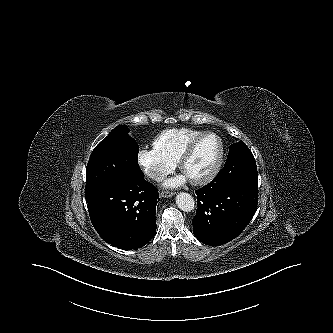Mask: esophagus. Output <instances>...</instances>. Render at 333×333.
Instances as JSON below:
<instances>
[{
	"mask_svg": "<svg viewBox=\"0 0 333 333\" xmlns=\"http://www.w3.org/2000/svg\"><path fill=\"white\" fill-rule=\"evenodd\" d=\"M174 192L172 191H161L160 193V197H163V198H168V197H172L174 196Z\"/></svg>",
	"mask_w": 333,
	"mask_h": 333,
	"instance_id": "obj_1",
	"label": "esophagus"
}]
</instances>
